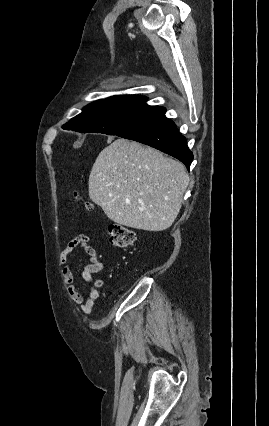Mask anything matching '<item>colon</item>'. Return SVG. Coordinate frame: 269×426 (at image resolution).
<instances>
[{"mask_svg": "<svg viewBox=\"0 0 269 426\" xmlns=\"http://www.w3.org/2000/svg\"><path fill=\"white\" fill-rule=\"evenodd\" d=\"M76 198H79L78 193H74ZM87 208L92 209L90 203L87 204ZM108 236L110 243L119 248H126L131 246L135 241V233L128 227L121 225H110L108 228Z\"/></svg>", "mask_w": 269, "mask_h": 426, "instance_id": "colon-1", "label": "colon"}]
</instances>
